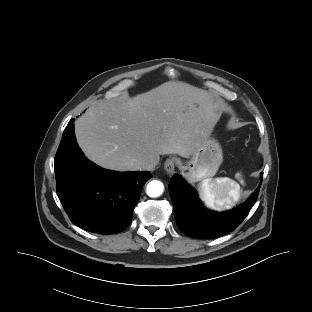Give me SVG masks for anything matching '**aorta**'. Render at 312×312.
<instances>
[{"label":"aorta","mask_w":312,"mask_h":312,"mask_svg":"<svg viewBox=\"0 0 312 312\" xmlns=\"http://www.w3.org/2000/svg\"><path fill=\"white\" fill-rule=\"evenodd\" d=\"M164 191V185L161 181L152 180L147 184L146 193L149 197L156 198Z\"/></svg>","instance_id":"762f6f07"}]
</instances>
